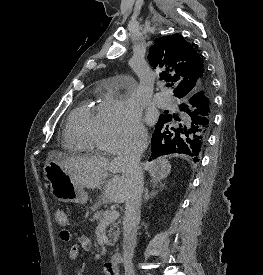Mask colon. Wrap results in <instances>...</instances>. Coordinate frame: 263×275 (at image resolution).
<instances>
[{
	"label": "colon",
	"mask_w": 263,
	"mask_h": 275,
	"mask_svg": "<svg viewBox=\"0 0 263 275\" xmlns=\"http://www.w3.org/2000/svg\"><path fill=\"white\" fill-rule=\"evenodd\" d=\"M55 219H56V222L62 226V227H65L68 225V215L67 213L65 212V210L63 209H58L55 213ZM62 237L65 239V240H69L70 238V234L68 232V230L64 229L62 230Z\"/></svg>",
	"instance_id": "1"
}]
</instances>
